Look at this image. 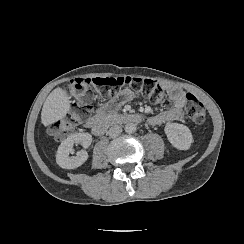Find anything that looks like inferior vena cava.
Listing matches in <instances>:
<instances>
[{"label": "inferior vena cava", "mask_w": 244, "mask_h": 244, "mask_svg": "<svg viewBox=\"0 0 244 244\" xmlns=\"http://www.w3.org/2000/svg\"><path fill=\"white\" fill-rule=\"evenodd\" d=\"M122 132V128L119 125H113L110 127L108 134L110 137L115 138L119 136Z\"/></svg>", "instance_id": "1"}]
</instances>
